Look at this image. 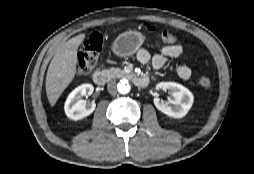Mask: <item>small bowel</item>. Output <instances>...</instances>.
Listing matches in <instances>:
<instances>
[{
	"instance_id": "c3829d8e",
	"label": "small bowel",
	"mask_w": 254,
	"mask_h": 174,
	"mask_svg": "<svg viewBox=\"0 0 254 174\" xmlns=\"http://www.w3.org/2000/svg\"><path fill=\"white\" fill-rule=\"evenodd\" d=\"M183 52L180 44H168L160 47L159 52L153 56L145 49H139L136 58L141 64H150L154 70L162 68L169 60L179 57ZM178 76L183 80L191 77V70L186 65L176 68Z\"/></svg>"
}]
</instances>
